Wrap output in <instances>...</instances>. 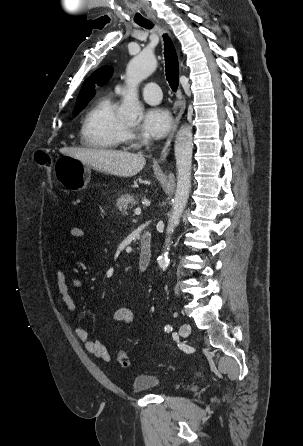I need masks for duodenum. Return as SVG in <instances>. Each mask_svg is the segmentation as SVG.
<instances>
[{
    "instance_id": "410a0bca",
    "label": "duodenum",
    "mask_w": 303,
    "mask_h": 446,
    "mask_svg": "<svg viewBox=\"0 0 303 446\" xmlns=\"http://www.w3.org/2000/svg\"><path fill=\"white\" fill-rule=\"evenodd\" d=\"M152 260V241L148 232H144L140 237V250L138 257V269L144 272L149 267Z\"/></svg>"
}]
</instances>
